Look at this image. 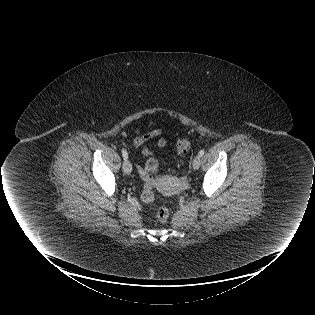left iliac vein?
<instances>
[{"label": "left iliac vein", "mask_w": 315, "mask_h": 315, "mask_svg": "<svg viewBox=\"0 0 315 315\" xmlns=\"http://www.w3.org/2000/svg\"><path fill=\"white\" fill-rule=\"evenodd\" d=\"M193 165V169L197 170L199 169L200 165H201V157L199 155H197L192 162Z\"/></svg>", "instance_id": "1"}]
</instances>
